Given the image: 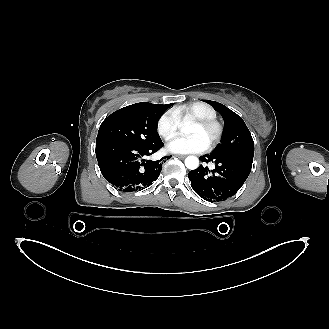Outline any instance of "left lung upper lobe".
<instances>
[{
  "mask_svg": "<svg viewBox=\"0 0 329 329\" xmlns=\"http://www.w3.org/2000/svg\"><path fill=\"white\" fill-rule=\"evenodd\" d=\"M219 112L225 122L224 136L214 155L239 157L253 161L254 142L243 119L221 103L203 100Z\"/></svg>",
  "mask_w": 329,
  "mask_h": 329,
  "instance_id": "1",
  "label": "left lung upper lobe"
}]
</instances>
